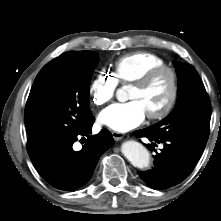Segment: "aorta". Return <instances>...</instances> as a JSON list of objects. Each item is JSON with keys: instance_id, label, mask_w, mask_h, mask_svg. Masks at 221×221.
<instances>
[{"instance_id": "aorta-1", "label": "aorta", "mask_w": 221, "mask_h": 221, "mask_svg": "<svg viewBox=\"0 0 221 221\" xmlns=\"http://www.w3.org/2000/svg\"><path fill=\"white\" fill-rule=\"evenodd\" d=\"M117 98L120 101L126 98L124 88L117 91ZM121 152L134 167L142 169L149 166L150 154L141 143L133 140L126 141L121 146Z\"/></svg>"}]
</instances>
